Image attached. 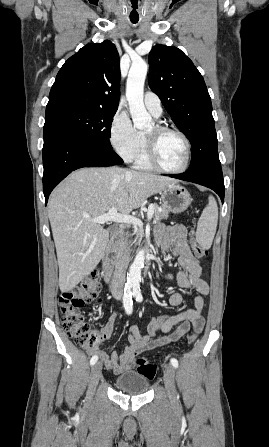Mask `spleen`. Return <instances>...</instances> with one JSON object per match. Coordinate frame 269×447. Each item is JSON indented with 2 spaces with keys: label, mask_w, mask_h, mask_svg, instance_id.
Returning <instances> with one entry per match:
<instances>
[{
  "label": "spleen",
  "mask_w": 269,
  "mask_h": 447,
  "mask_svg": "<svg viewBox=\"0 0 269 447\" xmlns=\"http://www.w3.org/2000/svg\"><path fill=\"white\" fill-rule=\"evenodd\" d=\"M208 206L204 208L197 224L196 239L204 249H209L212 245L218 224V206L215 198L209 196Z\"/></svg>",
  "instance_id": "spleen-1"
}]
</instances>
